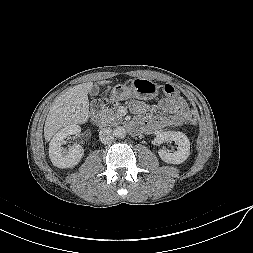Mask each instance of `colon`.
Masks as SVG:
<instances>
[{
  "label": "colon",
  "instance_id": "5ec220e1",
  "mask_svg": "<svg viewBox=\"0 0 253 253\" xmlns=\"http://www.w3.org/2000/svg\"><path fill=\"white\" fill-rule=\"evenodd\" d=\"M164 92L166 95L170 97H177L178 96V91L176 88L170 84H167L164 86ZM198 121V116L195 112H192L188 118V122L192 125H195Z\"/></svg>",
  "mask_w": 253,
  "mask_h": 253
}]
</instances>
